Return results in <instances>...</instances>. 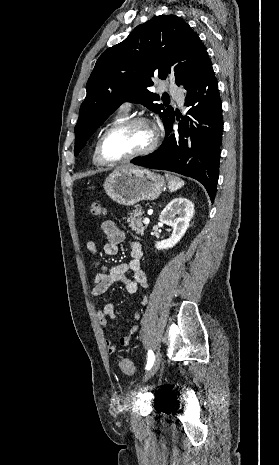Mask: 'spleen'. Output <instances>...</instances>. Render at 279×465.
I'll use <instances>...</instances> for the list:
<instances>
[{
  "label": "spleen",
  "instance_id": "obj_1",
  "mask_svg": "<svg viewBox=\"0 0 279 465\" xmlns=\"http://www.w3.org/2000/svg\"><path fill=\"white\" fill-rule=\"evenodd\" d=\"M165 176L168 181V187L172 192L178 190L184 185V181L179 177L170 174H165Z\"/></svg>",
  "mask_w": 279,
  "mask_h": 465
}]
</instances>
